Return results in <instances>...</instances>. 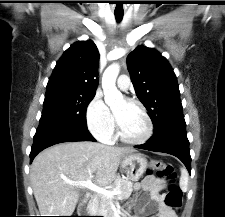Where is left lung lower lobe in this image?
I'll return each instance as SVG.
<instances>
[{"label": "left lung lower lobe", "mask_w": 225, "mask_h": 217, "mask_svg": "<svg viewBox=\"0 0 225 217\" xmlns=\"http://www.w3.org/2000/svg\"><path fill=\"white\" fill-rule=\"evenodd\" d=\"M135 148L174 155L184 163L189 173L191 172V156L185 122H177L154 132L145 144L137 145Z\"/></svg>", "instance_id": "0a47b994"}]
</instances>
